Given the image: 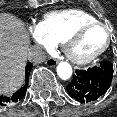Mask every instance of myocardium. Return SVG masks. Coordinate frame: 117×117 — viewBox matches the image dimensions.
Returning a JSON list of instances; mask_svg holds the SVG:
<instances>
[{"label":"myocardium","instance_id":"obj_1","mask_svg":"<svg viewBox=\"0 0 117 117\" xmlns=\"http://www.w3.org/2000/svg\"><path fill=\"white\" fill-rule=\"evenodd\" d=\"M92 27H103L106 29L107 31V40L104 44V46H102L99 50L85 55V56H79L77 54H75V52L73 51V45L74 43L81 37V35L87 31L88 29L92 28ZM112 38H113V31L112 28L107 25L104 22L101 21H92V22H87L81 26H79L75 31H73L64 41V45H63V49L64 52L67 56V58L78 65H85L88 64L92 61H94L95 59H97L99 56H101L111 45L112 42Z\"/></svg>","mask_w":117,"mask_h":117}]
</instances>
